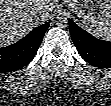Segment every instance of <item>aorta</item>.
<instances>
[{
  "label": "aorta",
  "mask_w": 111,
  "mask_h": 106,
  "mask_svg": "<svg viewBox=\"0 0 111 106\" xmlns=\"http://www.w3.org/2000/svg\"><path fill=\"white\" fill-rule=\"evenodd\" d=\"M59 27H66L68 25V20L66 17H59L56 21Z\"/></svg>",
  "instance_id": "1"
}]
</instances>
